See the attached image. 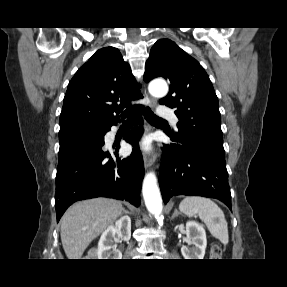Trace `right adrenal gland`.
I'll use <instances>...</instances> for the list:
<instances>
[{"label":"right adrenal gland","mask_w":287,"mask_h":287,"mask_svg":"<svg viewBox=\"0 0 287 287\" xmlns=\"http://www.w3.org/2000/svg\"><path fill=\"white\" fill-rule=\"evenodd\" d=\"M124 213H125V214H129V212H128L127 210H125V209H124Z\"/></svg>","instance_id":"2a0ac1e0"}]
</instances>
